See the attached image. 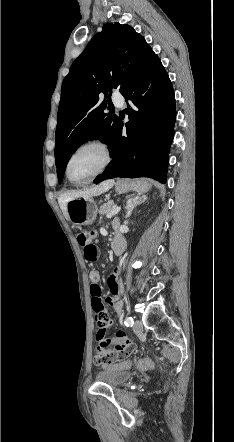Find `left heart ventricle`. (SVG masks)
Listing matches in <instances>:
<instances>
[{
  "label": "left heart ventricle",
  "instance_id": "1",
  "mask_svg": "<svg viewBox=\"0 0 234 442\" xmlns=\"http://www.w3.org/2000/svg\"><path fill=\"white\" fill-rule=\"evenodd\" d=\"M103 162V153L100 149L89 147L77 152L70 162V176L81 182L92 176Z\"/></svg>",
  "mask_w": 234,
  "mask_h": 442
}]
</instances>
